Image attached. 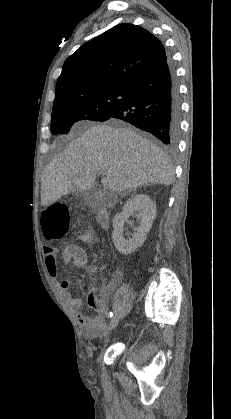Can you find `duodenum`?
I'll return each instance as SVG.
<instances>
[{"label":"duodenum","mask_w":231,"mask_h":419,"mask_svg":"<svg viewBox=\"0 0 231 419\" xmlns=\"http://www.w3.org/2000/svg\"><path fill=\"white\" fill-rule=\"evenodd\" d=\"M96 215L98 223L101 226H107L109 220L107 210L104 208H99Z\"/></svg>","instance_id":"410a0bca"}]
</instances>
